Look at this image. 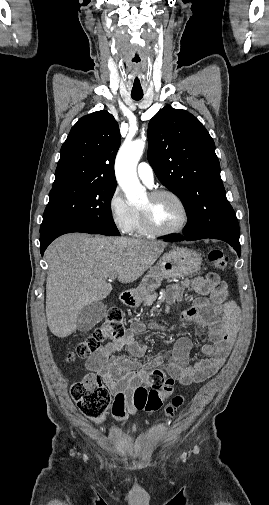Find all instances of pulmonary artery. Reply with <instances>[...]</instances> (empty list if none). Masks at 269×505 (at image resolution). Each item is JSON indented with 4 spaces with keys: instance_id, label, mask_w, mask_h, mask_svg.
<instances>
[{
    "instance_id": "obj_1",
    "label": "pulmonary artery",
    "mask_w": 269,
    "mask_h": 505,
    "mask_svg": "<svg viewBox=\"0 0 269 505\" xmlns=\"http://www.w3.org/2000/svg\"><path fill=\"white\" fill-rule=\"evenodd\" d=\"M137 174L140 180L147 186L151 187L154 183V172L152 167L147 162L139 163Z\"/></svg>"
}]
</instances>
